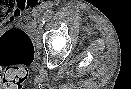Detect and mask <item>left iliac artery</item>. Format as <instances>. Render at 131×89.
Listing matches in <instances>:
<instances>
[{
	"mask_svg": "<svg viewBox=\"0 0 131 89\" xmlns=\"http://www.w3.org/2000/svg\"><path fill=\"white\" fill-rule=\"evenodd\" d=\"M53 11L52 10H47L46 13L44 14V18L41 20V24H45L47 20H49L52 17Z\"/></svg>",
	"mask_w": 131,
	"mask_h": 89,
	"instance_id": "left-iliac-artery-1",
	"label": "left iliac artery"
}]
</instances>
